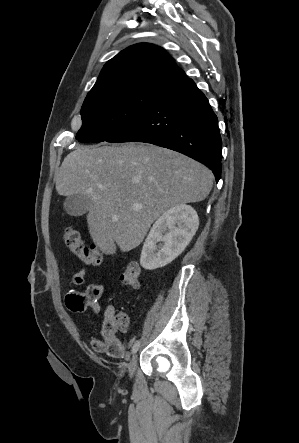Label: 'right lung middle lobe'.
<instances>
[{
  "label": "right lung middle lobe",
  "mask_w": 299,
  "mask_h": 443,
  "mask_svg": "<svg viewBox=\"0 0 299 443\" xmlns=\"http://www.w3.org/2000/svg\"><path fill=\"white\" fill-rule=\"evenodd\" d=\"M164 92L159 88L132 87L86 97L76 139L82 143L107 141L138 119Z\"/></svg>",
  "instance_id": "right-lung-middle-lobe-1"
}]
</instances>
